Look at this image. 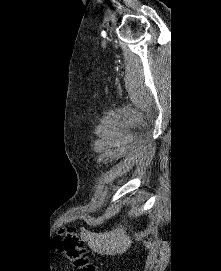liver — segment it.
<instances>
[{"instance_id": "obj_1", "label": "liver", "mask_w": 221, "mask_h": 271, "mask_svg": "<svg viewBox=\"0 0 221 271\" xmlns=\"http://www.w3.org/2000/svg\"><path fill=\"white\" fill-rule=\"evenodd\" d=\"M130 227V225H128ZM81 237L83 241H88L89 247L97 253H106V255H121L131 247L133 241L130 235L126 233L125 225L118 223L111 231L103 233H92L87 229H82Z\"/></svg>"}]
</instances>
